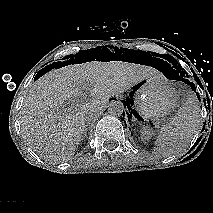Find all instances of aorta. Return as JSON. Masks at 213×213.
Segmentation results:
<instances>
[{
    "mask_svg": "<svg viewBox=\"0 0 213 213\" xmlns=\"http://www.w3.org/2000/svg\"><path fill=\"white\" fill-rule=\"evenodd\" d=\"M124 111V105L121 101H111L108 106V112L112 116H121Z\"/></svg>",
    "mask_w": 213,
    "mask_h": 213,
    "instance_id": "762f6f07",
    "label": "aorta"
}]
</instances>
